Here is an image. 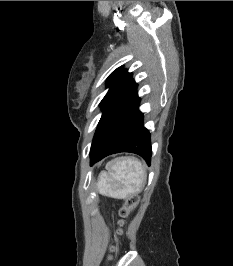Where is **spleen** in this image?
Listing matches in <instances>:
<instances>
[{
    "label": "spleen",
    "instance_id": "spleen-1",
    "mask_svg": "<svg viewBox=\"0 0 233 266\" xmlns=\"http://www.w3.org/2000/svg\"><path fill=\"white\" fill-rule=\"evenodd\" d=\"M107 172L99 174L97 189L102 195L126 198L140 193L146 181L142 163L133 157L116 158L106 165Z\"/></svg>",
    "mask_w": 233,
    "mask_h": 266
}]
</instances>
